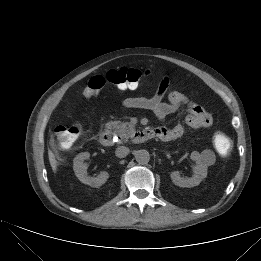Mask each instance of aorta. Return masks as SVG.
<instances>
[{
    "mask_svg": "<svg viewBox=\"0 0 261 261\" xmlns=\"http://www.w3.org/2000/svg\"><path fill=\"white\" fill-rule=\"evenodd\" d=\"M135 159L139 164H147L150 161V154L147 150L141 149L135 153Z\"/></svg>",
    "mask_w": 261,
    "mask_h": 261,
    "instance_id": "obj_1",
    "label": "aorta"
}]
</instances>
